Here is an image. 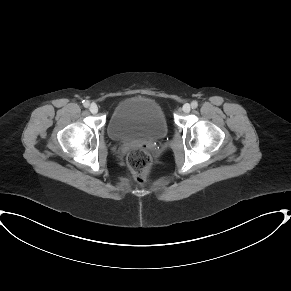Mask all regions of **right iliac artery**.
Instances as JSON below:
<instances>
[{
	"mask_svg": "<svg viewBox=\"0 0 291 291\" xmlns=\"http://www.w3.org/2000/svg\"><path fill=\"white\" fill-rule=\"evenodd\" d=\"M89 105H90L89 101H87V100H84V101H83V106H84L85 108H88Z\"/></svg>",
	"mask_w": 291,
	"mask_h": 291,
	"instance_id": "1",
	"label": "right iliac artery"
}]
</instances>
